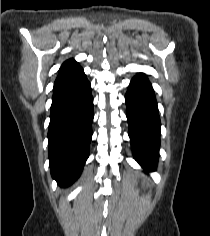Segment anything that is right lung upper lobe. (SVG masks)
<instances>
[{
  "label": "right lung upper lobe",
  "mask_w": 210,
  "mask_h": 236,
  "mask_svg": "<svg viewBox=\"0 0 210 236\" xmlns=\"http://www.w3.org/2000/svg\"><path fill=\"white\" fill-rule=\"evenodd\" d=\"M76 64H78V63L74 59H69V60H67L66 62L63 63V65L60 68V71L63 70V69L69 68L71 66H74Z\"/></svg>",
  "instance_id": "1"
}]
</instances>
